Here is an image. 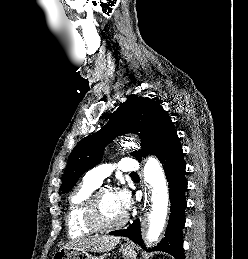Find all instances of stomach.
Instances as JSON below:
<instances>
[{
	"mask_svg": "<svg viewBox=\"0 0 248 259\" xmlns=\"http://www.w3.org/2000/svg\"><path fill=\"white\" fill-rule=\"evenodd\" d=\"M125 259H136L137 253L132 245H122L120 248ZM106 254L96 257L89 252L75 248H61L54 253L52 259H105Z\"/></svg>",
	"mask_w": 248,
	"mask_h": 259,
	"instance_id": "1",
	"label": "stomach"
}]
</instances>
